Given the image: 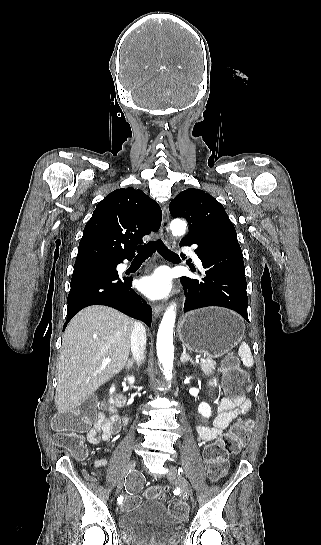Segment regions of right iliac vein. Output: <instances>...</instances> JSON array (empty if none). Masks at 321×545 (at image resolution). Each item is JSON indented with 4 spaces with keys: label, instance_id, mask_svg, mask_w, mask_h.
<instances>
[{
    "label": "right iliac vein",
    "instance_id": "obj_1",
    "mask_svg": "<svg viewBox=\"0 0 321 545\" xmlns=\"http://www.w3.org/2000/svg\"><path fill=\"white\" fill-rule=\"evenodd\" d=\"M135 466H136V461L135 460H132V461L129 462V464L127 465V469H126L125 473L123 474V476L121 477V479H120V481L118 483L117 490H116L117 493H120L121 490L123 489L124 482H125L124 477L126 475H128V472L133 471Z\"/></svg>",
    "mask_w": 321,
    "mask_h": 545
}]
</instances>
